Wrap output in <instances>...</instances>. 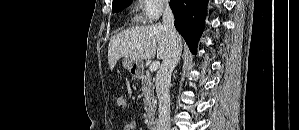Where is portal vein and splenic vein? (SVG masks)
Returning a JSON list of instances; mask_svg holds the SVG:
<instances>
[{"instance_id":"18ae733b","label":"portal vein and splenic vein","mask_w":299,"mask_h":130,"mask_svg":"<svg viewBox=\"0 0 299 130\" xmlns=\"http://www.w3.org/2000/svg\"><path fill=\"white\" fill-rule=\"evenodd\" d=\"M159 65H160V63H159L158 61L153 62V63L150 65L149 70H150L151 72L156 71V70L158 69Z\"/></svg>"}]
</instances>
